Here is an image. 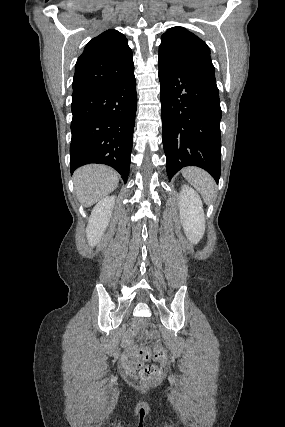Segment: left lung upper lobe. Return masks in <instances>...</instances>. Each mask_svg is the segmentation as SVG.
Segmentation results:
<instances>
[{
    "instance_id": "1",
    "label": "left lung upper lobe",
    "mask_w": 285,
    "mask_h": 427,
    "mask_svg": "<svg viewBox=\"0 0 285 427\" xmlns=\"http://www.w3.org/2000/svg\"><path fill=\"white\" fill-rule=\"evenodd\" d=\"M158 58L174 65L215 73L207 44L183 27H172L162 35Z\"/></svg>"
}]
</instances>
